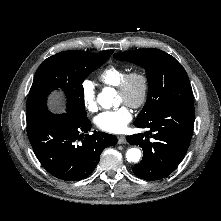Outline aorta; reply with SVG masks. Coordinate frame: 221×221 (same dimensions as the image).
I'll use <instances>...</instances> for the list:
<instances>
[{
	"label": "aorta",
	"instance_id": "762f6f07",
	"mask_svg": "<svg viewBox=\"0 0 221 221\" xmlns=\"http://www.w3.org/2000/svg\"><path fill=\"white\" fill-rule=\"evenodd\" d=\"M113 97H115V91L111 88H106L98 94L97 101L102 108L109 109L113 106ZM140 158L141 151L138 148H130L127 150V161L137 163Z\"/></svg>",
	"mask_w": 221,
	"mask_h": 221
}]
</instances>
